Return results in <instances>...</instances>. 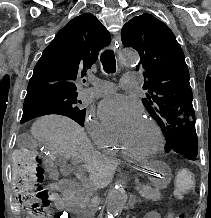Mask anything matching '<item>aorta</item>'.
Here are the masks:
<instances>
[{
  "label": "aorta",
  "instance_id": "762f6f07",
  "mask_svg": "<svg viewBox=\"0 0 211 218\" xmlns=\"http://www.w3.org/2000/svg\"><path fill=\"white\" fill-rule=\"evenodd\" d=\"M119 60L122 64H138L140 58L134 50H124L119 55ZM127 201V194L125 191V181L120 179L117 181L115 187L111 190L107 202L108 218L116 217L121 213Z\"/></svg>",
  "mask_w": 211,
  "mask_h": 218
}]
</instances>
